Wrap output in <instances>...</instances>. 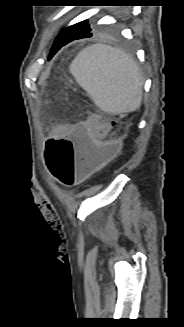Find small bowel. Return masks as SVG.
Masks as SVG:
<instances>
[{
    "mask_svg": "<svg viewBox=\"0 0 184 327\" xmlns=\"http://www.w3.org/2000/svg\"><path fill=\"white\" fill-rule=\"evenodd\" d=\"M76 124H83V123H76ZM76 124L57 126L52 130L51 135H61L64 138L61 142H67L66 136L71 135L70 132L72 129H75ZM61 142H51V143H61ZM96 165H102V164H96Z\"/></svg>",
    "mask_w": 184,
    "mask_h": 327,
    "instance_id": "c3829d8e",
    "label": "small bowel"
}]
</instances>
